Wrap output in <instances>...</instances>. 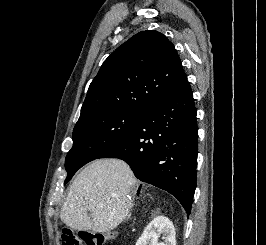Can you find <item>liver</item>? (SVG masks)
Here are the masks:
<instances>
[{
  "label": "liver",
  "instance_id": "liver-1",
  "mask_svg": "<svg viewBox=\"0 0 266 245\" xmlns=\"http://www.w3.org/2000/svg\"><path fill=\"white\" fill-rule=\"evenodd\" d=\"M137 183L124 161L96 159L74 179L60 219L73 231L108 233L128 217L131 191Z\"/></svg>",
  "mask_w": 266,
  "mask_h": 245
}]
</instances>
